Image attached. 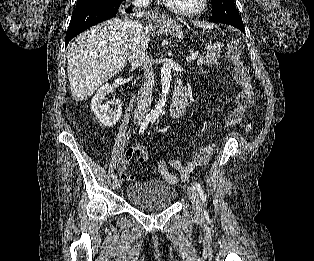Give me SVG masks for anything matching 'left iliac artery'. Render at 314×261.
I'll use <instances>...</instances> for the list:
<instances>
[{
    "mask_svg": "<svg viewBox=\"0 0 314 261\" xmlns=\"http://www.w3.org/2000/svg\"><path fill=\"white\" fill-rule=\"evenodd\" d=\"M154 120H151V122H153ZM194 186L197 188V191L200 195V198L202 200V204L205 206L206 205V197H205V194H204V191L201 187V185L197 182H194ZM204 214L206 215L207 214V211L205 210L204 208Z\"/></svg>",
    "mask_w": 314,
    "mask_h": 261,
    "instance_id": "44dca946",
    "label": "left iliac artery"
}]
</instances>
